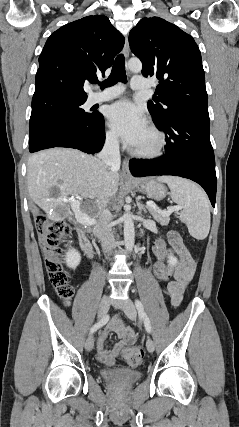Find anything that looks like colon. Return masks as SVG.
Listing matches in <instances>:
<instances>
[{"mask_svg":"<svg viewBox=\"0 0 239 427\" xmlns=\"http://www.w3.org/2000/svg\"><path fill=\"white\" fill-rule=\"evenodd\" d=\"M35 225L40 238L41 248L45 257L46 268L51 284L57 295L68 304L73 296L74 289L68 282V275L62 266L61 243L70 233V225L66 222H57L39 214L35 217ZM167 232V230H161ZM169 236V233H168ZM167 237H159L152 243V250L156 262L152 268V275L159 283V289L163 290L170 275V253L168 252ZM144 352L141 346L125 348L121 351V358L132 367L138 366L142 361Z\"/></svg>","mask_w":239,"mask_h":427,"instance_id":"1","label":"colon"}]
</instances>
